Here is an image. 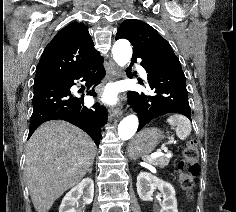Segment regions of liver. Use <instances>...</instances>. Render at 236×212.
<instances>
[{"label":"liver","mask_w":236,"mask_h":212,"mask_svg":"<svg viewBox=\"0 0 236 212\" xmlns=\"http://www.w3.org/2000/svg\"><path fill=\"white\" fill-rule=\"evenodd\" d=\"M96 145L81 129L53 120L36 129L27 143L25 177L37 212L78 184L92 166Z\"/></svg>","instance_id":"obj_1"}]
</instances>
